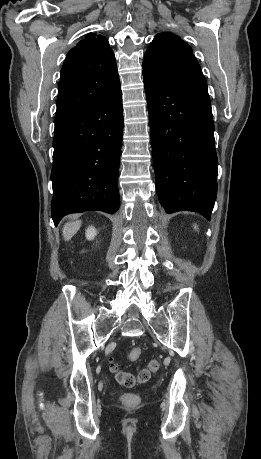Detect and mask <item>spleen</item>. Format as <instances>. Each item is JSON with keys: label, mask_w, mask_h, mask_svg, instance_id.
<instances>
[{"label": "spleen", "mask_w": 261, "mask_h": 459, "mask_svg": "<svg viewBox=\"0 0 261 459\" xmlns=\"http://www.w3.org/2000/svg\"><path fill=\"white\" fill-rule=\"evenodd\" d=\"M194 229H195V230H198V226H197L196 224L194 225Z\"/></svg>", "instance_id": "3e777b00"}]
</instances>
